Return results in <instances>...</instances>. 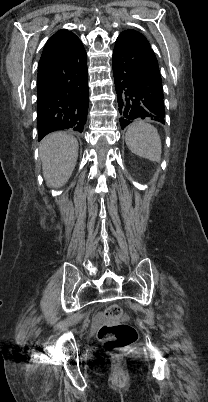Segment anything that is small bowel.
I'll return each instance as SVG.
<instances>
[{"mask_svg": "<svg viewBox=\"0 0 208 402\" xmlns=\"http://www.w3.org/2000/svg\"><path fill=\"white\" fill-rule=\"evenodd\" d=\"M93 321H94V323H96V324H100V323H102L103 318H102V316H100V315H96V316H94Z\"/></svg>", "mask_w": 208, "mask_h": 402, "instance_id": "small-bowel-1", "label": "small bowel"}]
</instances>
